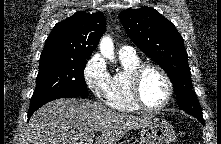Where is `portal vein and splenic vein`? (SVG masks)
<instances>
[{"mask_svg": "<svg viewBox=\"0 0 221 144\" xmlns=\"http://www.w3.org/2000/svg\"><path fill=\"white\" fill-rule=\"evenodd\" d=\"M92 141L93 140H89V141L85 142V144H91Z\"/></svg>", "mask_w": 221, "mask_h": 144, "instance_id": "18ae733b", "label": "portal vein and splenic vein"}]
</instances>
